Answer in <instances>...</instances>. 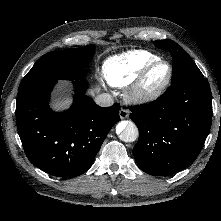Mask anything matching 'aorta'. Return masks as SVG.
I'll return each mask as SVG.
<instances>
[{
	"mask_svg": "<svg viewBox=\"0 0 221 221\" xmlns=\"http://www.w3.org/2000/svg\"><path fill=\"white\" fill-rule=\"evenodd\" d=\"M116 133L123 142H134L139 136V131L132 121H121L116 126Z\"/></svg>",
	"mask_w": 221,
	"mask_h": 221,
	"instance_id": "762f6f07",
	"label": "aorta"
}]
</instances>
